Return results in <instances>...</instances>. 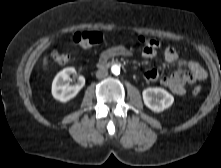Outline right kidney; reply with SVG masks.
I'll return each mask as SVG.
<instances>
[{
  "label": "right kidney",
  "instance_id": "right-kidney-1",
  "mask_svg": "<svg viewBox=\"0 0 221 168\" xmlns=\"http://www.w3.org/2000/svg\"><path fill=\"white\" fill-rule=\"evenodd\" d=\"M75 72L73 67H68L60 71L52 83V95L61 102H67L74 98L85 85V78L80 76L76 84L71 85L70 74Z\"/></svg>",
  "mask_w": 221,
  "mask_h": 168
}]
</instances>
